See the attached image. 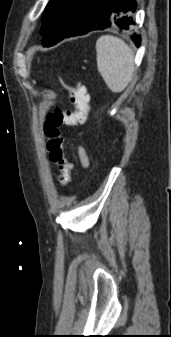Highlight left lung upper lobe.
I'll use <instances>...</instances> for the list:
<instances>
[{
  "mask_svg": "<svg viewBox=\"0 0 171 337\" xmlns=\"http://www.w3.org/2000/svg\"><path fill=\"white\" fill-rule=\"evenodd\" d=\"M85 0H50L43 16V46L59 42L76 24Z\"/></svg>",
  "mask_w": 171,
  "mask_h": 337,
  "instance_id": "5c2ea615",
  "label": "left lung upper lobe"
}]
</instances>
